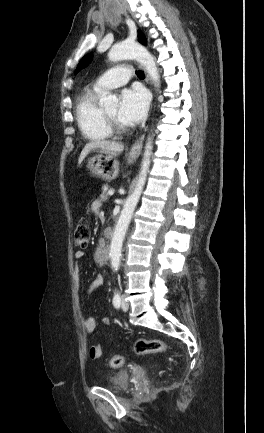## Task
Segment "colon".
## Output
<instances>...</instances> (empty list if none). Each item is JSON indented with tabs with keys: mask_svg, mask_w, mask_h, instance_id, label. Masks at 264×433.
I'll list each match as a JSON object with an SVG mask.
<instances>
[{
	"mask_svg": "<svg viewBox=\"0 0 264 433\" xmlns=\"http://www.w3.org/2000/svg\"><path fill=\"white\" fill-rule=\"evenodd\" d=\"M90 242V228L86 220H81L74 232V243L79 248H86ZM134 351L139 355L153 353H167L168 346L159 339H138L134 343ZM124 364V357L113 356L109 359L108 365L111 368H118Z\"/></svg>",
	"mask_w": 264,
	"mask_h": 433,
	"instance_id": "obj_1",
	"label": "colon"
}]
</instances>
